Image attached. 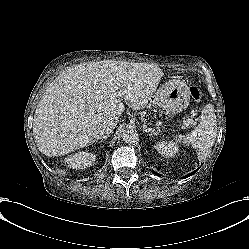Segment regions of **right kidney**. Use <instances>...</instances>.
I'll return each instance as SVG.
<instances>
[{
  "label": "right kidney",
  "mask_w": 249,
  "mask_h": 249,
  "mask_svg": "<svg viewBox=\"0 0 249 249\" xmlns=\"http://www.w3.org/2000/svg\"><path fill=\"white\" fill-rule=\"evenodd\" d=\"M91 164H92L91 161H86V162H84V166H90Z\"/></svg>",
  "instance_id": "1"
}]
</instances>
